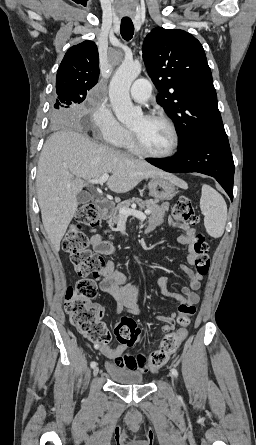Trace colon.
I'll return each mask as SVG.
<instances>
[{"instance_id":"colon-1","label":"colon","mask_w":256,"mask_h":445,"mask_svg":"<svg viewBox=\"0 0 256 445\" xmlns=\"http://www.w3.org/2000/svg\"><path fill=\"white\" fill-rule=\"evenodd\" d=\"M198 218L194 207L187 197H181L175 203L171 223L175 227L195 225ZM100 224V213L95 202H87L77 213L76 222L67 232L62 241V249L70 257L76 273L81 279L68 288L65 296V310L70 316L72 326L89 341L105 345L111 335L101 321V308L94 303L97 296V286L94 281L100 275L104 260L100 255L92 253L88 247L86 230H95ZM208 244L202 235H196L194 243L193 264L200 274H206L210 267ZM194 306H184L179 311L178 323L182 328L190 324L195 315ZM140 328L136 321L129 317L121 319L116 327L115 335L120 344L133 346L140 340ZM183 338L182 331L169 333L163 339L161 346L150 355V368L155 371L168 362L171 354L178 348Z\"/></svg>"}]
</instances>
